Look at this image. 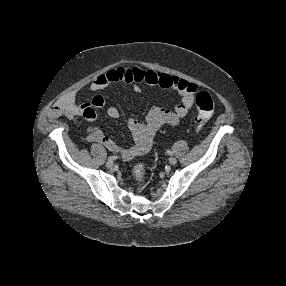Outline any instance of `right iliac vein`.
I'll return each mask as SVG.
<instances>
[{"label":"right iliac vein","instance_id":"right-iliac-vein-1","mask_svg":"<svg viewBox=\"0 0 286 286\" xmlns=\"http://www.w3.org/2000/svg\"><path fill=\"white\" fill-rule=\"evenodd\" d=\"M114 166V163L112 161H107L106 162V167L107 168H112Z\"/></svg>","mask_w":286,"mask_h":286}]
</instances>
